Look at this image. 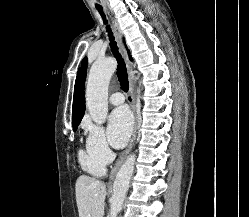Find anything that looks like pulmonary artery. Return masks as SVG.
Masks as SVG:
<instances>
[{"label": "pulmonary artery", "instance_id": "obj_1", "mask_svg": "<svg viewBox=\"0 0 249 217\" xmlns=\"http://www.w3.org/2000/svg\"><path fill=\"white\" fill-rule=\"evenodd\" d=\"M109 101L113 105L122 104L124 102V95L120 92H115L110 96Z\"/></svg>", "mask_w": 249, "mask_h": 217}]
</instances>
